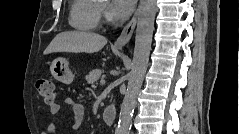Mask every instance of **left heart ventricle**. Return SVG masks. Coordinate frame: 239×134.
Segmentation results:
<instances>
[{"label": "left heart ventricle", "mask_w": 239, "mask_h": 134, "mask_svg": "<svg viewBox=\"0 0 239 134\" xmlns=\"http://www.w3.org/2000/svg\"><path fill=\"white\" fill-rule=\"evenodd\" d=\"M106 5H107V3L106 2H100V6H102L103 8H105L106 7Z\"/></svg>", "instance_id": "obj_1"}]
</instances>
